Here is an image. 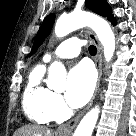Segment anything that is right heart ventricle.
<instances>
[{"mask_svg":"<svg viewBox=\"0 0 136 136\" xmlns=\"http://www.w3.org/2000/svg\"><path fill=\"white\" fill-rule=\"evenodd\" d=\"M43 76V65H37L31 70L22 100L27 117L39 124H46L55 119L50 107L53 92L44 84Z\"/></svg>","mask_w":136,"mask_h":136,"instance_id":"right-heart-ventricle-1","label":"right heart ventricle"}]
</instances>
